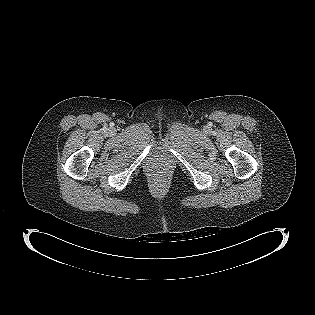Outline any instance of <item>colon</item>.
Segmentation results:
<instances>
[{"label": "colon", "instance_id": "1", "mask_svg": "<svg viewBox=\"0 0 315 315\" xmlns=\"http://www.w3.org/2000/svg\"><path fill=\"white\" fill-rule=\"evenodd\" d=\"M157 177L160 179H165L167 177V174L165 171H160L157 173Z\"/></svg>", "mask_w": 315, "mask_h": 315}]
</instances>
